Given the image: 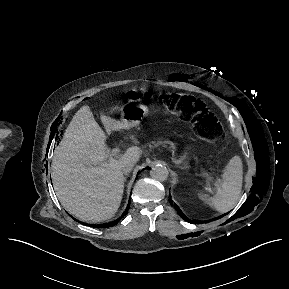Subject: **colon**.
Wrapping results in <instances>:
<instances>
[{
	"instance_id": "1",
	"label": "colon",
	"mask_w": 289,
	"mask_h": 289,
	"mask_svg": "<svg viewBox=\"0 0 289 289\" xmlns=\"http://www.w3.org/2000/svg\"><path fill=\"white\" fill-rule=\"evenodd\" d=\"M162 99L178 116L190 122L198 136L212 142L219 139L221 134L219 126L201 99L191 95L170 93L164 94Z\"/></svg>"
}]
</instances>
